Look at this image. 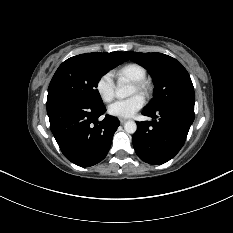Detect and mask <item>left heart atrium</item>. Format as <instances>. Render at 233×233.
Instances as JSON below:
<instances>
[{
    "mask_svg": "<svg viewBox=\"0 0 233 233\" xmlns=\"http://www.w3.org/2000/svg\"><path fill=\"white\" fill-rule=\"evenodd\" d=\"M144 105V99L140 95H134L125 100L114 102L108 107L111 116L119 118H130L134 116Z\"/></svg>",
    "mask_w": 233,
    "mask_h": 233,
    "instance_id": "1",
    "label": "left heart atrium"
}]
</instances>
